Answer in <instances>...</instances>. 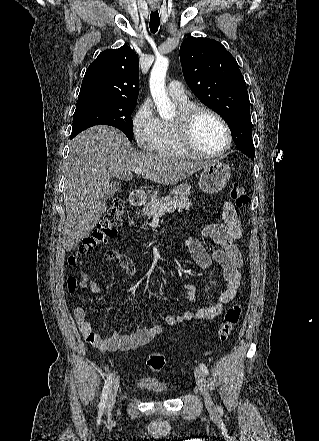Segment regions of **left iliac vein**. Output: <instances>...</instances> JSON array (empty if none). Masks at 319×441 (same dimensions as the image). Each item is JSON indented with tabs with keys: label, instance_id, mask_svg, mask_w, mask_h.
<instances>
[{
	"label": "left iliac vein",
	"instance_id": "left-iliac-vein-1",
	"mask_svg": "<svg viewBox=\"0 0 319 441\" xmlns=\"http://www.w3.org/2000/svg\"><path fill=\"white\" fill-rule=\"evenodd\" d=\"M194 374H195V379H196L197 385L199 386V388L203 394V397H204V400H205V403H206L208 410L211 412H214L215 406H214V403L212 401V398H211L209 390H208L207 380H206L204 372L200 368H195Z\"/></svg>",
	"mask_w": 319,
	"mask_h": 441
}]
</instances>
